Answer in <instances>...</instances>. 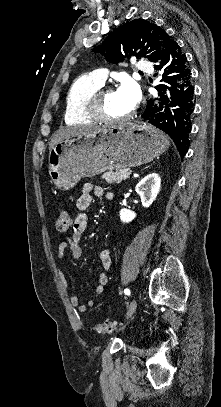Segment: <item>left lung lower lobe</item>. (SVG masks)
Wrapping results in <instances>:
<instances>
[{"mask_svg": "<svg viewBox=\"0 0 221 407\" xmlns=\"http://www.w3.org/2000/svg\"><path fill=\"white\" fill-rule=\"evenodd\" d=\"M155 69L163 72L162 81L166 85L156 87L160 98L148 101L142 118L167 133L183 157L188 151V136L192 128L194 87L187 58L175 41L166 42Z\"/></svg>", "mask_w": 221, "mask_h": 407, "instance_id": "left-lung-lower-lobe-1", "label": "left lung lower lobe"}]
</instances>
